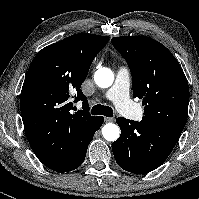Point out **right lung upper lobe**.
Masks as SVG:
<instances>
[{
	"mask_svg": "<svg viewBox=\"0 0 199 199\" xmlns=\"http://www.w3.org/2000/svg\"><path fill=\"white\" fill-rule=\"evenodd\" d=\"M108 40V36L75 34L43 48L34 57L22 87L20 109L25 132L40 129L49 139L47 155L59 156L66 141L96 119L89 114L80 88ZM73 94L75 102L83 101V110L74 114Z\"/></svg>",
	"mask_w": 199,
	"mask_h": 199,
	"instance_id": "obj_1",
	"label": "right lung upper lobe"
}]
</instances>
